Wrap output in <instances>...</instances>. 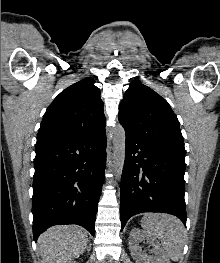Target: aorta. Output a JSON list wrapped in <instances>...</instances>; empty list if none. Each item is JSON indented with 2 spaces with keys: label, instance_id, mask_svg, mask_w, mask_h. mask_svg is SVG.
<instances>
[{
  "label": "aorta",
  "instance_id": "obj_1",
  "mask_svg": "<svg viewBox=\"0 0 220 263\" xmlns=\"http://www.w3.org/2000/svg\"><path fill=\"white\" fill-rule=\"evenodd\" d=\"M125 130L122 126L118 125L114 129L113 136V170L117 180L121 179L124 161H125Z\"/></svg>",
  "mask_w": 220,
  "mask_h": 263
}]
</instances>
